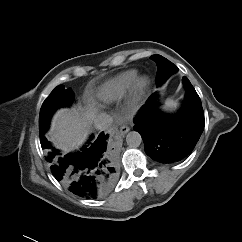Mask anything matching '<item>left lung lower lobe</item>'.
<instances>
[{
    "instance_id": "left-lung-lower-lobe-1",
    "label": "left lung lower lobe",
    "mask_w": 242,
    "mask_h": 242,
    "mask_svg": "<svg viewBox=\"0 0 242 242\" xmlns=\"http://www.w3.org/2000/svg\"><path fill=\"white\" fill-rule=\"evenodd\" d=\"M186 101L175 115L159 110L155 97L151 96L134 120L133 129L140 133L144 149L153 160L176 163L186 158L198 142L204 129V113L200 97L194 87L183 77Z\"/></svg>"
}]
</instances>
